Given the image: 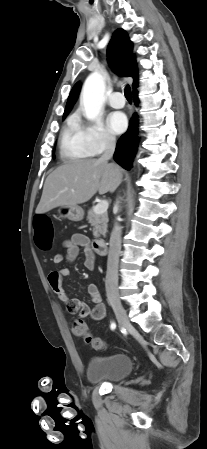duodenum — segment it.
<instances>
[{"label": "duodenum", "instance_id": "duodenum-1", "mask_svg": "<svg viewBox=\"0 0 207 449\" xmlns=\"http://www.w3.org/2000/svg\"><path fill=\"white\" fill-rule=\"evenodd\" d=\"M93 249L99 255H104L107 252V242L105 239H96L92 242Z\"/></svg>", "mask_w": 207, "mask_h": 449}]
</instances>
